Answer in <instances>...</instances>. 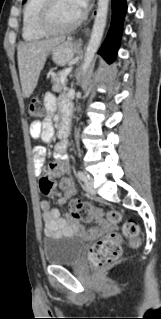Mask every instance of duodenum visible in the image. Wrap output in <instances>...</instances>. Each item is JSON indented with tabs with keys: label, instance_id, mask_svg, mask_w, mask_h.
I'll use <instances>...</instances> for the list:
<instances>
[{
	"label": "duodenum",
	"instance_id": "obj_1",
	"mask_svg": "<svg viewBox=\"0 0 161 319\" xmlns=\"http://www.w3.org/2000/svg\"><path fill=\"white\" fill-rule=\"evenodd\" d=\"M69 132H70L69 117H64L59 127V136L63 138L67 137L69 135Z\"/></svg>",
	"mask_w": 161,
	"mask_h": 319
}]
</instances>
